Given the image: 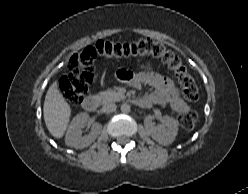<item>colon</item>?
<instances>
[{
	"mask_svg": "<svg viewBox=\"0 0 248 194\" xmlns=\"http://www.w3.org/2000/svg\"><path fill=\"white\" fill-rule=\"evenodd\" d=\"M107 59H127L142 56H151L173 72L177 78L183 96L188 101H196L199 97L198 86L179 57L163 43L152 39H139L124 43H113L105 40L98 41L94 46L86 47L74 54L68 62L67 70L60 79V89L65 99L72 105L79 104L88 94L94 80V60L98 57ZM128 71H120L118 77L129 80ZM197 114L188 111L179 116L178 121L185 129L195 125Z\"/></svg>",
	"mask_w": 248,
	"mask_h": 194,
	"instance_id": "obj_1",
	"label": "colon"
}]
</instances>
